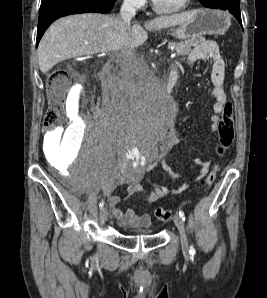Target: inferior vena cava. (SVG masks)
<instances>
[{"label":"inferior vena cava","instance_id":"602c4592","mask_svg":"<svg viewBox=\"0 0 267 298\" xmlns=\"http://www.w3.org/2000/svg\"><path fill=\"white\" fill-rule=\"evenodd\" d=\"M136 4V0H124L120 10L121 30L127 29L129 27L130 20L136 14ZM114 54L121 66V76L125 79V81H127L132 76L135 64L137 62L135 46L130 44L115 51ZM121 106L126 107V103L123 100L121 101Z\"/></svg>","mask_w":267,"mask_h":298}]
</instances>
